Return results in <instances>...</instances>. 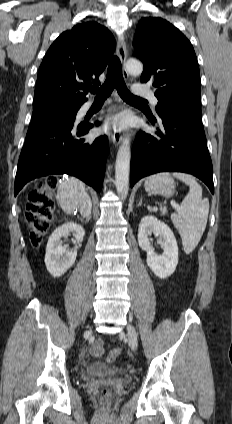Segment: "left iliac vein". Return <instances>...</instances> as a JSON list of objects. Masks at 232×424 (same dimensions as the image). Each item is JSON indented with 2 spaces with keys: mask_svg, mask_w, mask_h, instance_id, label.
Here are the masks:
<instances>
[{
  "mask_svg": "<svg viewBox=\"0 0 232 424\" xmlns=\"http://www.w3.org/2000/svg\"><path fill=\"white\" fill-rule=\"evenodd\" d=\"M127 334L131 348L136 350L138 345V338L135 328L131 324L128 325Z\"/></svg>",
  "mask_w": 232,
  "mask_h": 424,
  "instance_id": "4c4485c4",
  "label": "left iliac vein"
}]
</instances>
